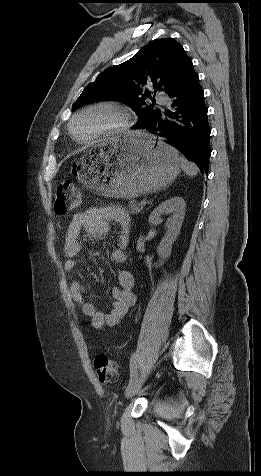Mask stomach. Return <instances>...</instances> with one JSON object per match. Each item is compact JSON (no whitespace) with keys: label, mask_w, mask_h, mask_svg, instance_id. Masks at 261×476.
I'll list each match as a JSON object with an SVG mask.
<instances>
[{"label":"stomach","mask_w":261,"mask_h":476,"mask_svg":"<svg viewBox=\"0 0 261 476\" xmlns=\"http://www.w3.org/2000/svg\"><path fill=\"white\" fill-rule=\"evenodd\" d=\"M181 169L178 152L144 133L114 138L72 164L86 187L108 197L132 199L166 188Z\"/></svg>","instance_id":"0dacf381"}]
</instances>
